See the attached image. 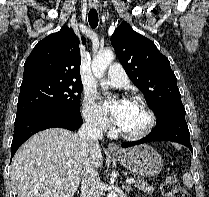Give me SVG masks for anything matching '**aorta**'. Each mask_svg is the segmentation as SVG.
I'll return each mask as SVG.
<instances>
[{
    "instance_id": "aorta-1",
    "label": "aorta",
    "mask_w": 209,
    "mask_h": 197,
    "mask_svg": "<svg viewBox=\"0 0 209 197\" xmlns=\"http://www.w3.org/2000/svg\"><path fill=\"white\" fill-rule=\"evenodd\" d=\"M114 53L111 49H105L100 51L94 58L92 61V71L93 74L98 77L101 78L107 67L111 64V62L114 60ZM107 197H117L116 193L111 192L107 195Z\"/></svg>"
}]
</instances>
